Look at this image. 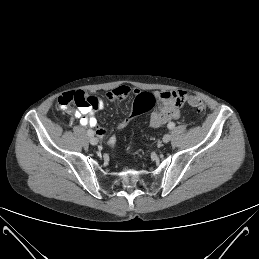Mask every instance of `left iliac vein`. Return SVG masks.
<instances>
[{"label":"left iliac vein","instance_id":"left-iliac-vein-1","mask_svg":"<svg viewBox=\"0 0 259 259\" xmlns=\"http://www.w3.org/2000/svg\"><path fill=\"white\" fill-rule=\"evenodd\" d=\"M170 139H171V136L169 134H165L163 136V142L164 143H168L170 141Z\"/></svg>","mask_w":259,"mask_h":259}]
</instances>
